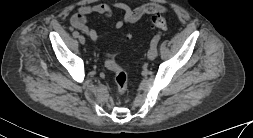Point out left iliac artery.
<instances>
[{
  "instance_id": "left-iliac-artery-1",
  "label": "left iliac artery",
  "mask_w": 253,
  "mask_h": 138,
  "mask_svg": "<svg viewBox=\"0 0 253 138\" xmlns=\"http://www.w3.org/2000/svg\"><path fill=\"white\" fill-rule=\"evenodd\" d=\"M161 36L159 34H157L151 41V47H156L159 40H160Z\"/></svg>"
}]
</instances>
